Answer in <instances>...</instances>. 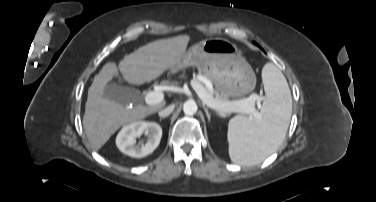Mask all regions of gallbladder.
Masks as SVG:
<instances>
[{"label":"gallbladder","mask_w":376,"mask_h":202,"mask_svg":"<svg viewBox=\"0 0 376 202\" xmlns=\"http://www.w3.org/2000/svg\"><path fill=\"white\" fill-rule=\"evenodd\" d=\"M103 96L106 99L120 103L129 104L136 103L139 97V91L135 88L109 82L105 86Z\"/></svg>","instance_id":"gallbladder-1"}]
</instances>
